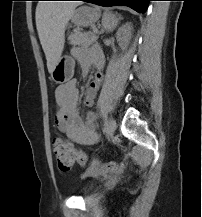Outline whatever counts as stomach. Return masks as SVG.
<instances>
[{
	"instance_id": "0dacf381",
	"label": "stomach",
	"mask_w": 202,
	"mask_h": 217,
	"mask_svg": "<svg viewBox=\"0 0 202 217\" xmlns=\"http://www.w3.org/2000/svg\"><path fill=\"white\" fill-rule=\"evenodd\" d=\"M100 13L96 8L82 6L76 9L72 15V22L78 27H89L99 19ZM74 74V62L70 57H61L55 65L51 77L58 83L69 81Z\"/></svg>"
}]
</instances>
